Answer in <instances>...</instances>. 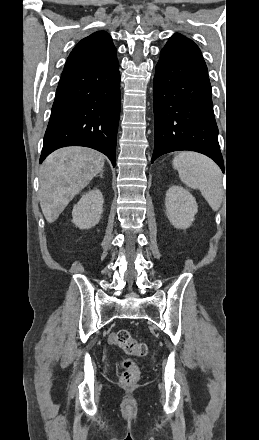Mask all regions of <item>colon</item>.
I'll use <instances>...</instances> for the list:
<instances>
[{"instance_id": "1", "label": "colon", "mask_w": 259, "mask_h": 440, "mask_svg": "<svg viewBox=\"0 0 259 440\" xmlns=\"http://www.w3.org/2000/svg\"><path fill=\"white\" fill-rule=\"evenodd\" d=\"M116 345L125 353L137 357H143L148 352V347L145 343L137 341L127 329H120L116 335ZM124 372L121 375V383L124 386H129L135 383L139 378V368L131 359H126L122 362Z\"/></svg>"}]
</instances>
